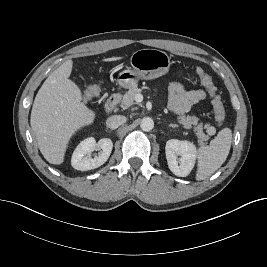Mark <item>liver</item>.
Wrapping results in <instances>:
<instances>
[{"instance_id": "liver-1", "label": "liver", "mask_w": 267, "mask_h": 267, "mask_svg": "<svg viewBox=\"0 0 267 267\" xmlns=\"http://www.w3.org/2000/svg\"><path fill=\"white\" fill-rule=\"evenodd\" d=\"M120 57L104 61H117ZM73 61L54 70L39 89L31 111L30 124L40 152L50 163L59 165L70 138L94 122L95 112L82 102L78 85L69 79Z\"/></svg>"}]
</instances>
